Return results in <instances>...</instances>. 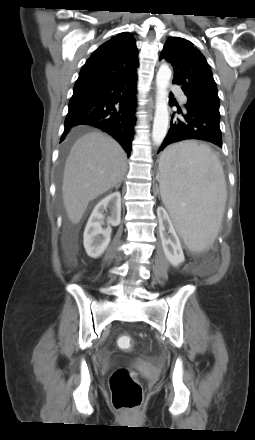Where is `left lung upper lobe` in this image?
<instances>
[{"label": "left lung upper lobe", "instance_id": "obj_1", "mask_svg": "<svg viewBox=\"0 0 255 440\" xmlns=\"http://www.w3.org/2000/svg\"><path fill=\"white\" fill-rule=\"evenodd\" d=\"M162 59L173 65V83L181 85L187 104L219 112L218 91L210 65L192 42L180 37L168 38Z\"/></svg>", "mask_w": 255, "mask_h": 440}]
</instances>
